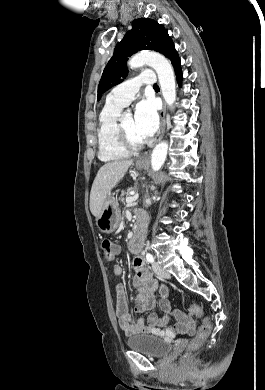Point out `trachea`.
Returning a JSON list of instances; mask_svg holds the SVG:
<instances>
[{
    "instance_id": "obj_1",
    "label": "trachea",
    "mask_w": 265,
    "mask_h": 390,
    "mask_svg": "<svg viewBox=\"0 0 265 390\" xmlns=\"http://www.w3.org/2000/svg\"><path fill=\"white\" fill-rule=\"evenodd\" d=\"M154 88H159V86L157 85V84H154V86H153Z\"/></svg>"
}]
</instances>
